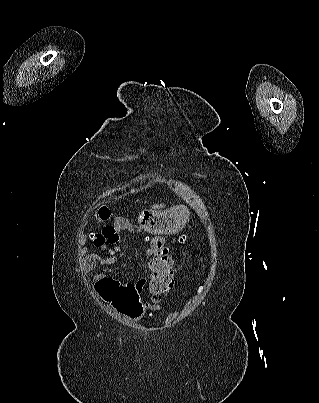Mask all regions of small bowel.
Instances as JSON below:
<instances>
[{
  "label": "small bowel",
  "instance_id": "obj_1",
  "mask_svg": "<svg viewBox=\"0 0 319 403\" xmlns=\"http://www.w3.org/2000/svg\"><path fill=\"white\" fill-rule=\"evenodd\" d=\"M127 224L128 215L121 213L115 224H102L101 229L91 230V245L95 246L96 249H101V251L90 252L83 257L81 261L82 272L90 273L95 271L98 263L105 258L103 253H124L122 238L123 233L128 228ZM190 242L191 237L185 231L176 233L173 238L175 247L179 249L188 247ZM169 259L172 258L169 256ZM146 282H149V278H141L136 284H126L125 279H116L98 272L92 279V286L97 287L98 299L101 305H107L108 309H117V315H129L135 321H142L145 318H152L156 312L160 311L162 302L153 300L150 291L149 301L143 303V300H139V292L146 287Z\"/></svg>",
  "mask_w": 319,
  "mask_h": 403
}]
</instances>
